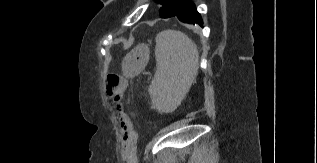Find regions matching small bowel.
I'll list each match as a JSON object with an SVG mask.
<instances>
[{"label": "small bowel", "instance_id": "small-bowel-1", "mask_svg": "<svg viewBox=\"0 0 317 163\" xmlns=\"http://www.w3.org/2000/svg\"><path fill=\"white\" fill-rule=\"evenodd\" d=\"M117 117L122 131L124 132L125 156L128 162H133V152L136 146V133L132 128V122L128 114L122 109L117 110Z\"/></svg>", "mask_w": 317, "mask_h": 163}]
</instances>
